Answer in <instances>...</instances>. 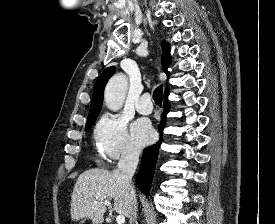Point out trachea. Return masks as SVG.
Listing matches in <instances>:
<instances>
[{
	"instance_id": "trachea-1",
	"label": "trachea",
	"mask_w": 275,
	"mask_h": 224,
	"mask_svg": "<svg viewBox=\"0 0 275 224\" xmlns=\"http://www.w3.org/2000/svg\"><path fill=\"white\" fill-rule=\"evenodd\" d=\"M163 86H158L153 92V100L158 106H162Z\"/></svg>"
}]
</instances>
